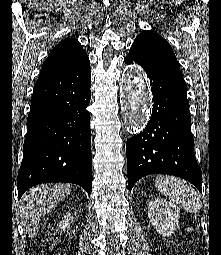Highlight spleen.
<instances>
[{
  "label": "spleen",
  "instance_id": "1",
  "mask_svg": "<svg viewBox=\"0 0 221 255\" xmlns=\"http://www.w3.org/2000/svg\"><path fill=\"white\" fill-rule=\"evenodd\" d=\"M155 186L158 191L184 208L187 212L196 213L202 206L199 193L180 178L159 175L155 179Z\"/></svg>",
  "mask_w": 221,
  "mask_h": 255
}]
</instances>
